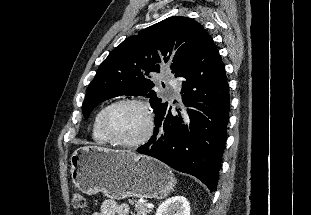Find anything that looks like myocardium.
Returning a JSON list of instances; mask_svg holds the SVG:
<instances>
[{
	"label": "myocardium",
	"instance_id": "myocardium-1",
	"mask_svg": "<svg viewBox=\"0 0 311 215\" xmlns=\"http://www.w3.org/2000/svg\"><path fill=\"white\" fill-rule=\"evenodd\" d=\"M125 104H133L141 107L147 116V128L144 132V134L137 140L134 141H123L115 137L109 127H108V117L111 113V111L120 106V105H125ZM100 128L104 136L109 140L110 143L125 147V148H137L145 144L152 136L153 130H154V117H153V112L149 106V104L140 98H123L120 100H117L108 106L105 107L101 119H100Z\"/></svg>",
	"mask_w": 311,
	"mask_h": 215
}]
</instances>
